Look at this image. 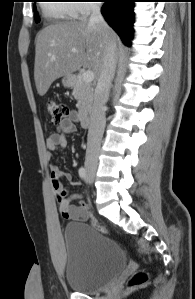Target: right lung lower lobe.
<instances>
[{"label": "right lung lower lobe", "instance_id": "right-lung-lower-lobe-1", "mask_svg": "<svg viewBox=\"0 0 195 299\" xmlns=\"http://www.w3.org/2000/svg\"><path fill=\"white\" fill-rule=\"evenodd\" d=\"M101 8L105 20L117 32L123 43L130 45L134 22V2L136 0H103Z\"/></svg>", "mask_w": 195, "mask_h": 299}]
</instances>
